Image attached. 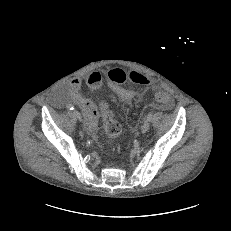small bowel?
I'll list each match as a JSON object with an SVG mask.
<instances>
[{
	"instance_id": "obj_1",
	"label": "small bowel",
	"mask_w": 231,
	"mask_h": 231,
	"mask_svg": "<svg viewBox=\"0 0 231 231\" xmlns=\"http://www.w3.org/2000/svg\"><path fill=\"white\" fill-rule=\"evenodd\" d=\"M101 84V75L92 73L87 79V85L91 89H97ZM108 86L111 91L116 94L121 101L130 102L139 97V93L126 89L120 85H113L108 81ZM81 80L74 78L69 81L66 87L63 88V95L68 96L76 105L80 107L85 116V127L93 137H97L98 111L96 106L80 93Z\"/></svg>"
}]
</instances>
